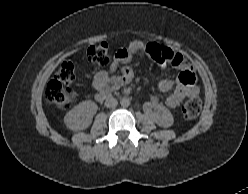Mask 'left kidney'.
Wrapping results in <instances>:
<instances>
[{
    "label": "left kidney",
    "mask_w": 248,
    "mask_h": 194,
    "mask_svg": "<svg viewBox=\"0 0 248 194\" xmlns=\"http://www.w3.org/2000/svg\"><path fill=\"white\" fill-rule=\"evenodd\" d=\"M154 121L159 126L168 128L173 124V116L167 108L160 107L158 112L154 114Z\"/></svg>",
    "instance_id": "obj_1"
}]
</instances>
